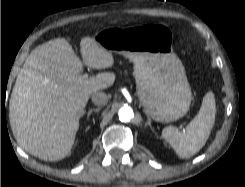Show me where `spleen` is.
<instances>
[{"instance_id": "1", "label": "spleen", "mask_w": 245, "mask_h": 187, "mask_svg": "<svg viewBox=\"0 0 245 187\" xmlns=\"http://www.w3.org/2000/svg\"><path fill=\"white\" fill-rule=\"evenodd\" d=\"M216 104L213 92L203 98L198 114L184 131L173 126L163 129L162 137L181 158H190L205 145L215 122Z\"/></svg>"}]
</instances>
